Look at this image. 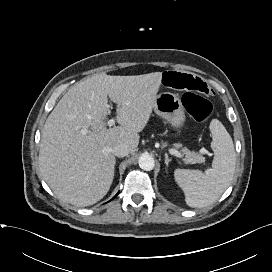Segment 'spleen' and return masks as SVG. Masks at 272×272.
Returning a JSON list of instances; mask_svg holds the SVG:
<instances>
[{
  "mask_svg": "<svg viewBox=\"0 0 272 272\" xmlns=\"http://www.w3.org/2000/svg\"><path fill=\"white\" fill-rule=\"evenodd\" d=\"M210 130L211 148L214 152L211 171H174L175 181L185 194L186 204L194 208L205 207L217 201L230 185L235 172L236 153L231 136L217 119L211 121Z\"/></svg>",
  "mask_w": 272,
  "mask_h": 272,
  "instance_id": "3e777b00",
  "label": "spleen"
}]
</instances>
